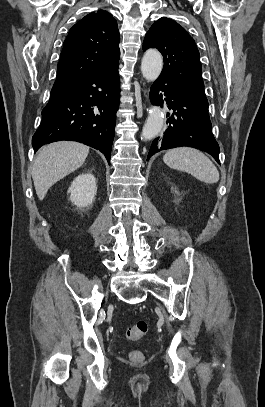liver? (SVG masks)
I'll return each instance as SVG.
<instances>
[{
  "instance_id": "liver-1",
  "label": "liver",
  "mask_w": 265,
  "mask_h": 407,
  "mask_svg": "<svg viewBox=\"0 0 265 407\" xmlns=\"http://www.w3.org/2000/svg\"><path fill=\"white\" fill-rule=\"evenodd\" d=\"M89 147L74 141H59L41 149L32 170L36 194L43 200L59 180L81 167Z\"/></svg>"
}]
</instances>
